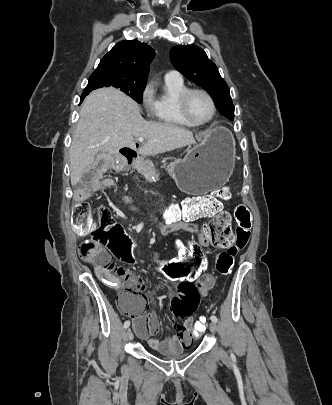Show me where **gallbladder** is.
<instances>
[{
    "mask_svg": "<svg viewBox=\"0 0 332 405\" xmlns=\"http://www.w3.org/2000/svg\"><path fill=\"white\" fill-rule=\"evenodd\" d=\"M106 156V154H99L98 156H97V159H103L104 157Z\"/></svg>",
    "mask_w": 332,
    "mask_h": 405,
    "instance_id": "obj_1",
    "label": "gallbladder"
}]
</instances>
